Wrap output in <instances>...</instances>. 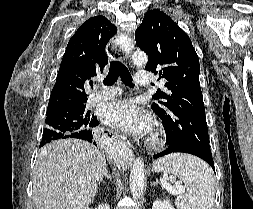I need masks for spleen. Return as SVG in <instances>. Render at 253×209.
Segmentation results:
<instances>
[{
	"mask_svg": "<svg viewBox=\"0 0 253 209\" xmlns=\"http://www.w3.org/2000/svg\"><path fill=\"white\" fill-rule=\"evenodd\" d=\"M154 172L176 175L184 182L186 193H180L177 209H214V175L208 164L189 154H171L153 165Z\"/></svg>",
	"mask_w": 253,
	"mask_h": 209,
	"instance_id": "spleen-1",
	"label": "spleen"
}]
</instances>
